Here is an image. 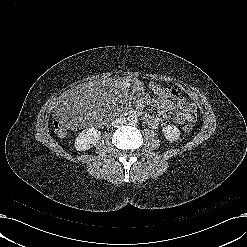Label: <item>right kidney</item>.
Returning a JSON list of instances; mask_svg holds the SVG:
<instances>
[{
    "label": "right kidney",
    "mask_w": 247,
    "mask_h": 247,
    "mask_svg": "<svg viewBox=\"0 0 247 247\" xmlns=\"http://www.w3.org/2000/svg\"><path fill=\"white\" fill-rule=\"evenodd\" d=\"M101 138V132L95 128H87L80 132L75 139L74 147L77 151L89 150L96 145Z\"/></svg>",
    "instance_id": "1"
}]
</instances>
